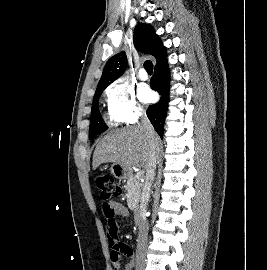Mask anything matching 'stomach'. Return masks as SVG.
<instances>
[{"mask_svg": "<svg viewBox=\"0 0 267 270\" xmlns=\"http://www.w3.org/2000/svg\"><path fill=\"white\" fill-rule=\"evenodd\" d=\"M111 173L115 178L123 180L128 179L131 176L132 171L118 163H113L111 165Z\"/></svg>", "mask_w": 267, "mask_h": 270, "instance_id": "0dacf381", "label": "stomach"}]
</instances>
